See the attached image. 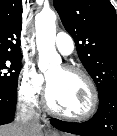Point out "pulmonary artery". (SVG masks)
Segmentation results:
<instances>
[{"label": "pulmonary artery", "instance_id": "obj_1", "mask_svg": "<svg viewBox=\"0 0 117 136\" xmlns=\"http://www.w3.org/2000/svg\"><path fill=\"white\" fill-rule=\"evenodd\" d=\"M55 45L57 50L64 56H69L74 50L73 38L67 33H58Z\"/></svg>", "mask_w": 117, "mask_h": 136}]
</instances>
